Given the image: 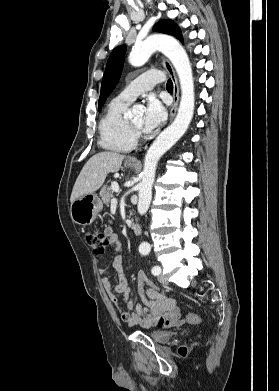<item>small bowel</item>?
Returning a JSON list of instances; mask_svg holds the SVG:
<instances>
[{
	"instance_id": "obj_1",
	"label": "small bowel",
	"mask_w": 279,
	"mask_h": 391,
	"mask_svg": "<svg viewBox=\"0 0 279 391\" xmlns=\"http://www.w3.org/2000/svg\"><path fill=\"white\" fill-rule=\"evenodd\" d=\"M105 234L109 237L110 244L114 245L117 250H120L121 245L118 236L112 226L105 229ZM111 267L116 271L118 282L112 285L108 277L102 279V284L108 293L112 304L120 312L123 322L129 326H141L144 328L159 327L167 328L182 323L181 311L174 299L162 295L158 289L146 278L145 274H138V283L140 286L147 285L148 288L144 295V305L135 303L133 291L128 285L127 278L124 273L123 260L120 255L116 256ZM109 267L99 269L100 274H105ZM123 296V302L127 309H134L133 312L122 311L121 301L118 295Z\"/></svg>"
}]
</instances>
